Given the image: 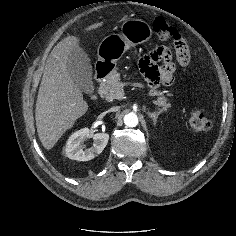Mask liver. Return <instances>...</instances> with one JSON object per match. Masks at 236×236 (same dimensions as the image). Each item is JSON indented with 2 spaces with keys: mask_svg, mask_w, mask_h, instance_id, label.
Returning <instances> with one entry per match:
<instances>
[{
  "mask_svg": "<svg viewBox=\"0 0 236 236\" xmlns=\"http://www.w3.org/2000/svg\"><path fill=\"white\" fill-rule=\"evenodd\" d=\"M102 25L93 24L88 30ZM78 47L79 40L68 36L53 48L46 61L36 101L35 120L39 139L47 150L52 149L75 121L88 111L81 89L67 70L69 55Z\"/></svg>",
  "mask_w": 236,
  "mask_h": 236,
  "instance_id": "1",
  "label": "liver"
}]
</instances>
